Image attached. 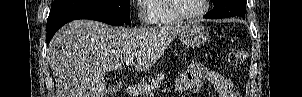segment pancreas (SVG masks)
I'll return each mask as SVG.
<instances>
[{"mask_svg":"<svg viewBox=\"0 0 302 97\" xmlns=\"http://www.w3.org/2000/svg\"><path fill=\"white\" fill-rule=\"evenodd\" d=\"M165 79V74L160 72L157 74L156 78L151 79V81L142 88L143 96L152 97L153 93L160 87V84Z\"/></svg>","mask_w":302,"mask_h":97,"instance_id":"pancreas-1","label":"pancreas"}]
</instances>
